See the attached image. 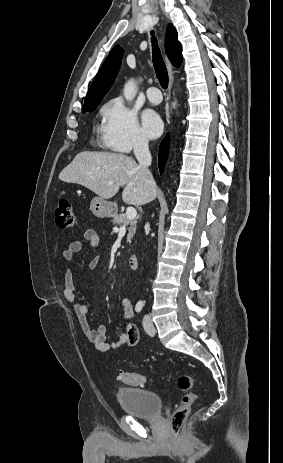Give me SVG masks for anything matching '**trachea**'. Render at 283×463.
Listing matches in <instances>:
<instances>
[{
  "mask_svg": "<svg viewBox=\"0 0 283 463\" xmlns=\"http://www.w3.org/2000/svg\"><path fill=\"white\" fill-rule=\"evenodd\" d=\"M152 34V53H153V65L157 74V78L160 82V85L163 89L168 87V73L166 66L163 62V58L158 47L157 39L154 36V31L151 32Z\"/></svg>",
  "mask_w": 283,
  "mask_h": 463,
  "instance_id": "3493384b",
  "label": "trachea"
}]
</instances>
